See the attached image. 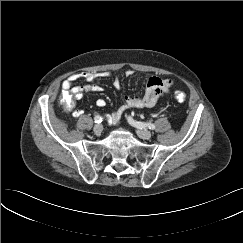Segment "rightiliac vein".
<instances>
[{
    "mask_svg": "<svg viewBox=\"0 0 243 243\" xmlns=\"http://www.w3.org/2000/svg\"><path fill=\"white\" fill-rule=\"evenodd\" d=\"M96 135H100L103 131V126L101 124H97L93 128Z\"/></svg>",
    "mask_w": 243,
    "mask_h": 243,
    "instance_id": "1",
    "label": "right iliac vein"
}]
</instances>
